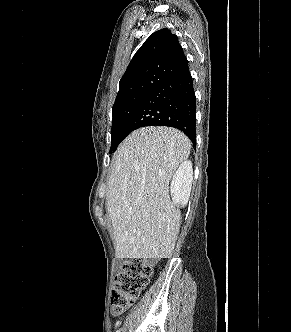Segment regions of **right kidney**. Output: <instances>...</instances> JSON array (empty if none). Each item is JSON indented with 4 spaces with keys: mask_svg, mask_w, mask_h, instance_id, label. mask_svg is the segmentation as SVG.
Instances as JSON below:
<instances>
[{
    "mask_svg": "<svg viewBox=\"0 0 291 332\" xmlns=\"http://www.w3.org/2000/svg\"><path fill=\"white\" fill-rule=\"evenodd\" d=\"M193 181V169L190 161H184L174 173L170 190L175 204L186 205Z\"/></svg>",
    "mask_w": 291,
    "mask_h": 332,
    "instance_id": "obj_1",
    "label": "right kidney"
}]
</instances>
